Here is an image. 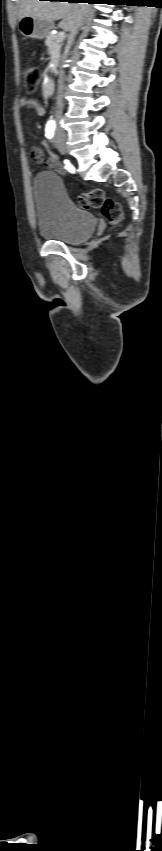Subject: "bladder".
<instances>
[{"mask_svg":"<svg viewBox=\"0 0 162 851\" xmlns=\"http://www.w3.org/2000/svg\"><path fill=\"white\" fill-rule=\"evenodd\" d=\"M32 194L37 228L42 237L66 244H78L94 233L95 216L68 197L56 173L46 171L37 174L32 183Z\"/></svg>","mask_w":162,"mask_h":851,"instance_id":"bladder-1","label":"bladder"}]
</instances>
